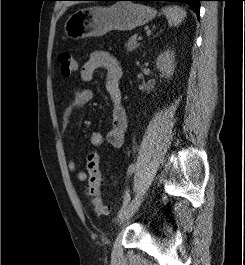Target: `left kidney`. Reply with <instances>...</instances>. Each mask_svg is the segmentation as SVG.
I'll list each match as a JSON object with an SVG mask.
<instances>
[{
    "label": "left kidney",
    "instance_id": "left-kidney-1",
    "mask_svg": "<svg viewBox=\"0 0 245 265\" xmlns=\"http://www.w3.org/2000/svg\"><path fill=\"white\" fill-rule=\"evenodd\" d=\"M174 55L173 51L167 50L157 57L156 67L166 78H170L173 75L175 69Z\"/></svg>",
    "mask_w": 245,
    "mask_h": 265
}]
</instances>
